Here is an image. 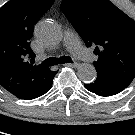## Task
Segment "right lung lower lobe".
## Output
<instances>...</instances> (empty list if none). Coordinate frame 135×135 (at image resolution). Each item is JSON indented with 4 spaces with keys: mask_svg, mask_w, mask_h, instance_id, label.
Wrapping results in <instances>:
<instances>
[{
    "mask_svg": "<svg viewBox=\"0 0 135 135\" xmlns=\"http://www.w3.org/2000/svg\"><path fill=\"white\" fill-rule=\"evenodd\" d=\"M55 74H56V72H55ZM55 74L51 78L50 82H48L47 84L39 86L30 92L23 93L20 95H15V96L19 99H24V100H31V99L37 98L39 96H42L43 94L48 92L50 90V88L52 87V82H53V78H54Z\"/></svg>",
    "mask_w": 135,
    "mask_h": 135,
    "instance_id": "1",
    "label": "right lung lower lobe"
}]
</instances>
